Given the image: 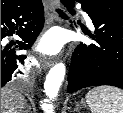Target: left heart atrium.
<instances>
[{
	"label": "left heart atrium",
	"mask_w": 123,
	"mask_h": 113,
	"mask_svg": "<svg viewBox=\"0 0 123 113\" xmlns=\"http://www.w3.org/2000/svg\"><path fill=\"white\" fill-rule=\"evenodd\" d=\"M61 39L55 33H49L42 38L38 50L44 54H55L61 48Z\"/></svg>",
	"instance_id": "1"
}]
</instances>
